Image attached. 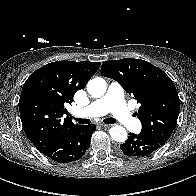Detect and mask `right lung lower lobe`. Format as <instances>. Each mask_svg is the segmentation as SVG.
Segmentation results:
<instances>
[{
  "instance_id": "98d812e1",
  "label": "right lung lower lobe",
  "mask_w": 196,
  "mask_h": 196,
  "mask_svg": "<svg viewBox=\"0 0 196 196\" xmlns=\"http://www.w3.org/2000/svg\"><path fill=\"white\" fill-rule=\"evenodd\" d=\"M94 131L93 124L77 125L40 152L60 163L78 160L90 147L91 135Z\"/></svg>"
}]
</instances>
